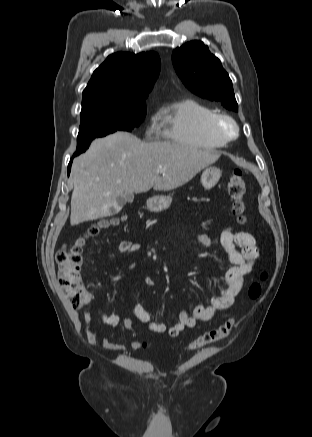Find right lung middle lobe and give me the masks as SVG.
<instances>
[{
  "mask_svg": "<svg viewBox=\"0 0 312 437\" xmlns=\"http://www.w3.org/2000/svg\"><path fill=\"white\" fill-rule=\"evenodd\" d=\"M146 115V106L133 109L94 107L82 109L81 124L77 137V156L89 147L97 137H104L116 131H131L139 126Z\"/></svg>",
  "mask_w": 312,
  "mask_h": 437,
  "instance_id": "1",
  "label": "right lung middle lobe"
}]
</instances>
